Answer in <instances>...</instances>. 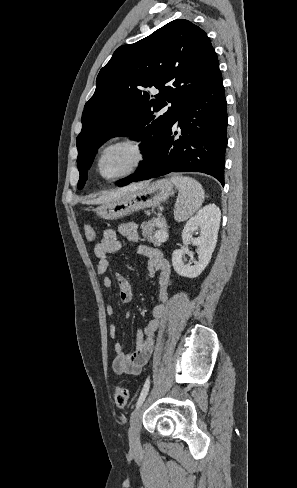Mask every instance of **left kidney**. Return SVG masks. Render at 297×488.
<instances>
[{
	"label": "left kidney",
	"instance_id": "5707ae66",
	"mask_svg": "<svg viewBox=\"0 0 297 488\" xmlns=\"http://www.w3.org/2000/svg\"><path fill=\"white\" fill-rule=\"evenodd\" d=\"M220 219V209L215 204H209L188 220L182 232V240L185 246L190 241L198 246V260H195L192 265L185 264L183 261L184 249L174 250L172 265L177 274L187 278H195L206 268L215 249ZM198 228L200 236L193 238L192 234Z\"/></svg>",
	"mask_w": 297,
	"mask_h": 488
}]
</instances>
